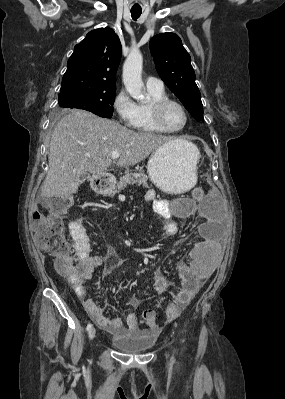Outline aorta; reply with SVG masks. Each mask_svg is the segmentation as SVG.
I'll list each match as a JSON object with an SVG mask.
<instances>
[{"label":"aorta","mask_w":285,"mask_h":399,"mask_svg":"<svg viewBox=\"0 0 285 399\" xmlns=\"http://www.w3.org/2000/svg\"><path fill=\"white\" fill-rule=\"evenodd\" d=\"M142 64L143 57L139 50H132L123 66V83L129 95L137 101L145 102L148 96L142 91Z\"/></svg>","instance_id":"1"}]
</instances>
